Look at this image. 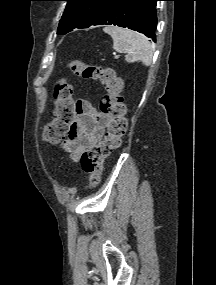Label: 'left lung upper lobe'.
<instances>
[{
  "label": "left lung upper lobe",
  "mask_w": 216,
  "mask_h": 285,
  "mask_svg": "<svg viewBox=\"0 0 216 285\" xmlns=\"http://www.w3.org/2000/svg\"><path fill=\"white\" fill-rule=\"evenodd\" d=\"M66 8L58 27V34L75 28H87L112 0H64Z\"/></svg>",
  "instance_id": "obj_1"
}]
</instances>
